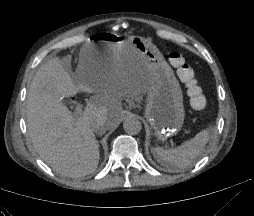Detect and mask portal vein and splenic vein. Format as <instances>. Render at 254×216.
I'll return each mask as SVG.
<instances>
[{"instance_id":"1","label":"portal vein and splenic vein","mask_w":254,"mask_h":216,"mask_svg":"<svg viewBox=\"0 0 254 216\" xmlns=\"http://www.w3.org/2000/svg\"><path fill=\"white\" fill-rule=\"evenodd\" d=\"M75 113H76V115H78V116H81V115H82V113H83V107H82V105L78 104V105L76 106V108H75Z\"/></svg>"}]
</instances>
